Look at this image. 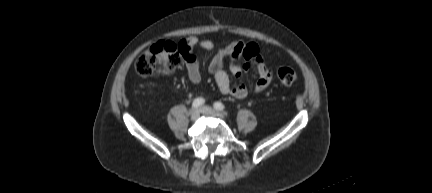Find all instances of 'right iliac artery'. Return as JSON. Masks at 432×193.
Returning a JSON list of instances; mask_svg holds the SVG:
<instances>
[{"label": "right iliac artery", "instance_id": "right-iliac-artery-1", "mask_svg": "<svg viewBox=\"0 0 432 193\" xmlns=\"http://www.w3.org/2000/svg\"><path fill=\"white\" fill-rule=\"evenodd\" d=\"M205 103V100L201 97L196 98L192 103V108L197 109Z\"/></svg>", "mask_w": 432, "mask_h": 193}]
</instances>
